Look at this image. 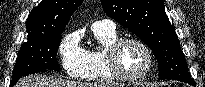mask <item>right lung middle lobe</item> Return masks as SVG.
<instances>
[{"label": "right lung middle lobe", "mask_w": 205, "mask_h": 87, "mask_svg": "<svg viewBox=\"0 0 205 87\" xmlns=\"http://www.w3.org/2000/svg\"><path fill=\"white\" fill-rule=\"evenodd\" d=\"M61 34L27 36V41L21 45L16 60L10 86L22 77L43 70H59L56 59Z\"/></svg>", "instance_id": "1"}]
</instances>
